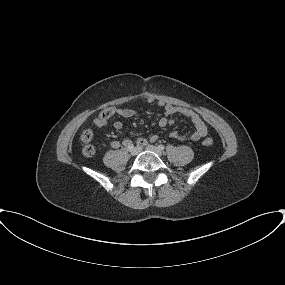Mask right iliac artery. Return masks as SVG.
<instances>
[{
    "instance_id": "1",
    "label": "right iliac artery",
    "mask_w": 285,
    "mask_h": 285,
    "mask_svg": "<svg viewBox=\"0 0 285 285\" xmlns=\"http://www.w3.org/2000/svg\"><path fill=\"white\" fill-rule=\"evenodd\" d=\"M126 147L129 151H131L134 148V145L132 142H130Z\"/></svg>"
}]
</instances>
